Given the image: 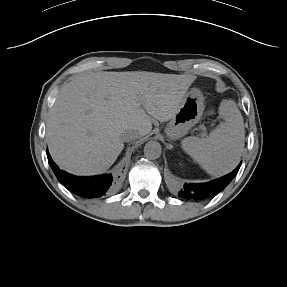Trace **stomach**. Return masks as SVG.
<instances>
[{"label":"stomach","instance_id":"0dacf381","mask_svg":"<svg viewBox=\"0 0 287 287\" xmlns=\"http://www.w3.org/2000/svg\"><path fill=\"white\" fill-rule=\"evenodd\" d=\"M204 107L201 92L195 88L191 89L185 96L178 112L167 124L165 128L167 136L172 140L185 136L201 119Z\"/></svg>","mask_w":287,"mask_h":287}]
</instances>
